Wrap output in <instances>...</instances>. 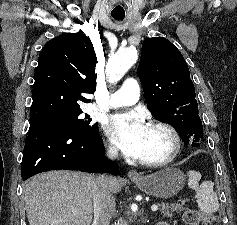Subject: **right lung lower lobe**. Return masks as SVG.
<instances>
[{"label": "right lung lower lobe", "instance_id": "98d812e1", "mask_svg": "<svg viewBox=\"0 0 237 225\" xmlns=\"http://www.w3.org/2000/svg\"><path fill=\"white\" fill-rule=\"evenodd\" d=\"M103 153L99 131L80 134L60 127L32 124L24 146L22 179L57 169L116 174L117 164L108 161Z\"/></svg>", "mask_w": 237, "mask_h": 225}]
</instances>
